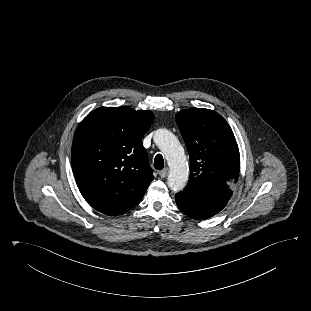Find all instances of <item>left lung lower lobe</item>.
Here are the masks:
<instances>
[{"mask_svg":"<svg viewBox=\"0 0 311 311\" xmlns=\"http://www.w3.org/2000/svg\"><path fill=\"white\" fill-rule=\"evenodd\" d=\"M176 204L180 211L190 218L205 220L220 212L227 202L186 187L176 194Z\"/></svg>","mask_w":311,"mask_h":311,"instance_id":"obj_1","label":"left lung lower lobe"}]
</instances>
